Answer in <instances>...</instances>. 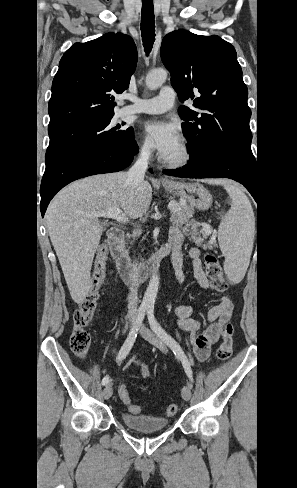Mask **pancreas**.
I'll return each mask as SVG.
<instances>
[{
	"instance_id": "obj_1",
	"label": "pancreas",
	"mask_w": 297,
	"mask_h": 488,
	"mask_svg": "<svg viewBox=\"0 0 297 488\" xmlns=\"http://www.w3.org/2000/svg\"><path fill=\"white\" fill-rule=\"evenodd\" d=\"M172 204L176 205V209L172 210L171 222L177 226H197L199 222L192 219L194 214V208L190 205H183L181 202L172 201ZM200 233H203L201 231ZM191 239L196 243H201L202 238L195 230L191 234Z\"/></svg>"
}]
</instances>
